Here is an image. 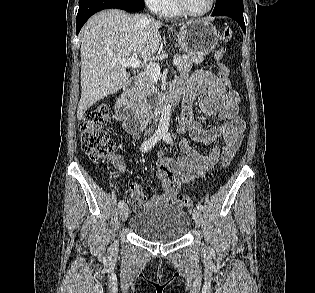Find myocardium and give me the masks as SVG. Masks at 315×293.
Returning a JSON list of instances; mask_svg holds the SVG:
<instances>
[{
	"instance_id": "f54148a6",
	"label": "myocardium",
	"mask_w": 315,
	"mask_h": 293,
	"mask_svg": "<svg viewBox=\"0 0 315 293\" xmlns=\"http://www.w3.org/2000/svg\"><path fill=\"white\" fill-rule=\"evenodd\" d=\"M174 4H175V7L177 8V10L182 15L189 16V17H201V16H204V15L208 14L213 9L214 4H215V0H209L208 7L205 10L201 11V12L190 11L186 7L184 0H174Z\"/></svg>"
}]
</instances>
